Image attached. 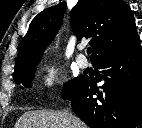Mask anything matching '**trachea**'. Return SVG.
<instances>
[{"label": "trachea", "instance_id": "3493384b", "mask_svg": "<svg viewBox=\"0 0 142 128\" xmlns=\"http://www.w3.org/2000/svg\"><path fill=\"white\" fill-rule=\"evenodd\" d=\"M87 53H88V54H91V53H92V49H91V48H88V49H87Z\"/></svg>", "mask_w": 142, "mask_h": 128}]
</instances>
